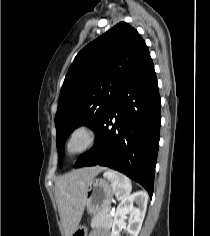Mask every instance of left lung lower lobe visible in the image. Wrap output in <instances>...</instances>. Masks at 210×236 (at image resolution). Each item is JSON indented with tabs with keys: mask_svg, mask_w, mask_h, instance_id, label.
Wrapping results in <instances>:
<instances>
[{
	"mask_svg": "<svg viewBox=\"0 0 210 236\" xmlns=\"http://www.w3.org/2000/svg\"><path fill=\"white\" fill-rule=\"evenodd\" d=\"M161 100L152 60L119 92L95 130V144L75 168L120 171L153 194L160 139Z\"/></svg>",
	"mask_w": 210,
	"mask_h": 236,
	"instance_id": "obj_1",
	"label": "left lung lower lobe"
}]
</instances>
